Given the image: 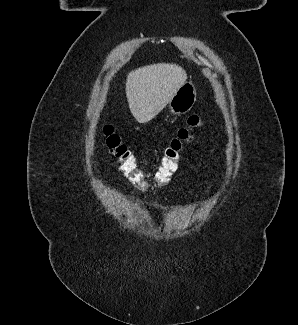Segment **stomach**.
<instances>
[{
	"instance_id": "obj_1",
	"label": "stomach",
	"mask_w": 298,
	"mask_h": 325,
	"mask_svg": "<svg viewBox=\"0 0 298 325\" xmlns=\"http://www.w3.org/2000/svg\"><path fill=\"white\" fill-rule=\"evenodd\" d=\"M197 100V90L192 80H186L180 88H178L176 94L172 96L168 102L170 112L173 114H186L191 108H193Z\"/></svg>"
}]
</instances>
